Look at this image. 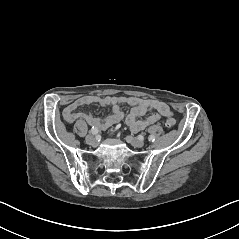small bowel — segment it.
I'll list each match as a JSON object with an SVG mask.
<instances>
[{"instance_id":"small-bowel-1","label":"small bowel","mask_w":239,"mask_h":239,"mask_svg":"<svg viewBox=\"0 0 239 239\" xmlns=\"http://www.w3.org/2000/svg\"><path fill=\"white\" fill-rule=\"evenodd\" d=\"M89 104L109 106L112 113L105 118H96L90 114L76 111L77 108ZM121 104L131 106V110L126 116V123L133 131H140L158 122L162 117H170L172 115L170 107L162 101L138 97L92 95L80 97L69 103L63 111V117L68 123L81 119L97 129H107L124 119L125 114L120 108ZM147 113L150 114L141 120L140 117Z\"/></svg>"}]
</instances>
